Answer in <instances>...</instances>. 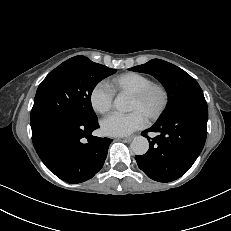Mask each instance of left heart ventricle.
<instances>
[{
	"label": "left heart ventricle",
	"instance_id": "obj_1",
	"mask_svg": "<svg viewBox=\"0 0 231 231\" xmlns=\"http://www.w3.org/2000/svg\"><path fill=\"white\" fill-rule=\"evenodd\" d=\"M160 103V95L158 92H153L145 101L140 102L130 98L129 111H140L147 116L150 112L154 111Z\"/></svg>",
	"mask_w": 231,
	"mask_h": 231
}]
</instances>
